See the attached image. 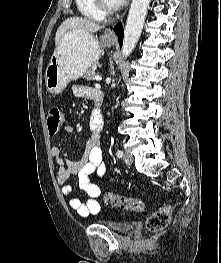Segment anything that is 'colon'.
I'll list each match as a JSON object with an SVG mask.
<instances>
[{"label": "colon", "mask_w": 221, "mask_h": 263, "mask_svg": "<svg viewBox=\"0 0 221 263\" xmlns=\"http://www.w3.org/2000/svg\"><path fill=\"white\" fill-rule=\"evenodd\" d=\"M63 125L62 111L57 107H52L47 112V126L50 136L59 132ZM103 202L106 205L116 207L120 210L130 212H143L145 210L144 202L141 199L127 197L116 193L108 192L103 196ZM171 217V207L164 206L153 212L146 220V229L150 233L163 231L169 224Z\"/></svg>", "instance_id": "1"}]
</instances>
